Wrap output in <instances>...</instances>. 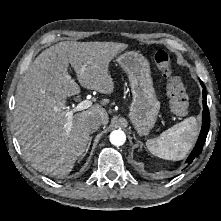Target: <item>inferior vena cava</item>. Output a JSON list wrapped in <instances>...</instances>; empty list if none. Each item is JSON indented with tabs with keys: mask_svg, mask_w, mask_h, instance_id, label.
Wrapping results in <instances>:
<instances>
[{
	"mask_svg": "<svg viewBox=\"0 0 221 221\" xmlns=\"http://www.w3.org/2000/svg\"><path fill=\"white\" fill-rule=\"evenodd\" d=\"M102 119L98 116H93L91 117L87 123H86V128L88 129L89 132H95L98 130V128L102 124Z\"/></svg>",
	"mask_w": 221,
	"mask_h": 221,
	"instance_id": "obj_1",
	"label": "inferior vena cava"
}]
</instances>
